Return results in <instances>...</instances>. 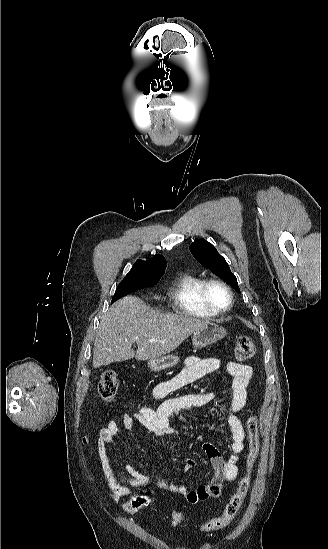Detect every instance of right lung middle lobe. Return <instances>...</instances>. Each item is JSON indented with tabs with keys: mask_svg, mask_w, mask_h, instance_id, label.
<instances>
[{
	"mask_svg": "<svg viewBox=\"0 0 328 549\" xmlns=\"http://www.w3.org/2000/svg\"><path fill=\"white\" fill-rule=\"evenodd\" d=\"M163 273V270L155 268H144L128 273L125 279L118 285L111 303L133 291L156 284Z\"/></svg>",
	"mask_w": 328,
	"mask_h": 549,
	"instance_id": "dd1d6c3e",
	"label": "right lung middle lobe"
}]
</instances>
